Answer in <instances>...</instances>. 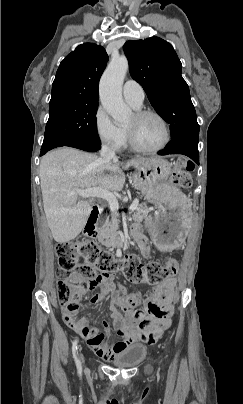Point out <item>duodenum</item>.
<instances>
[{"instance_id": "410a0bca", "label": "duodenum", "mask_w": 243, "mask_h": 404, "mask_svg": "<svg viewBox=\"0 0 243 404\" xmlns=\"http://www.w3.org/2000/svg\"><path fill=\"white\" fill-rule=\"evenodd\" d=\"M98 213H99V208L98 206H93L92 211L86 221L85 227H84V235L86 237H95L97 234V218H98ZM127 244V241L125 239H118L116 240L113 244L112 247H122Z\"/></svg>"}]
</instances>
